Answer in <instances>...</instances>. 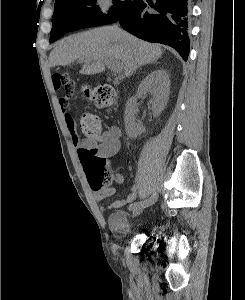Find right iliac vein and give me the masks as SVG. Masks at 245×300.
<instances>
[{
    "label": "right iliac vein",
    "instance_id": "1",
    "mask_svg": "<svg viewBox=\"0 0 245 300\" xmlns=\"http://www.w3.org/2000/svg\"><path fill=\"white\" fill-rule=\"evenodd\" d=\"M156 199H157V196H156V194H154V195H152L149 199L144 200V201H141V202H140V205H137L136 207H134V208L132 209V210H133L132 216H133V217H137L138 215H140V214L142 213V211H143L146 207L152 205V204L156 201Z\"/></svg>",
    "mask_w": 245,
    "mask_h": 300
}]
</instances>
